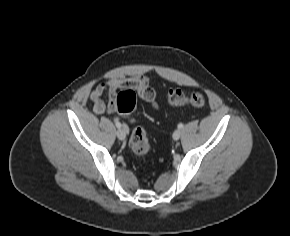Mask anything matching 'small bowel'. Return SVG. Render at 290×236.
<instances>
[{
    "mask_svg": "<svg viewBox=\"0 0 290 236\" xmlns=\"http://www.w3.org/2000/svg\"><path fill=\"white\" fill-rule=\"evenodd\" d=\"M122 88L133 89L142 100L149 103L154 109L158 108L156 91L150 86L149 78L144 75H133L107 80L96 86L90 95L94 112L98 115L114 112L117 90ZM105 93L109 96L108 104L103 99Z\"/></svg>",
    "mask_w": 290,
    "mask_h": 236,
    "instance_id": "obj_1",
    "label": "small bowel"
}]
</instances>
